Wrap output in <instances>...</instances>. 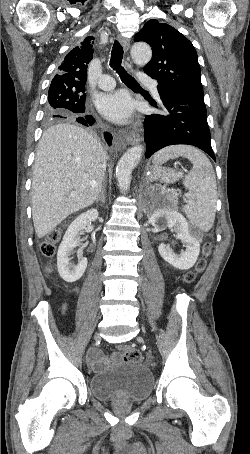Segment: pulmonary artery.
Segmentation results:
<instances>
[{
	"mask_svg": "<svg viewBox=\"0 0 250 454\" xmlns=\"http://www.w3.org/2000/svg\"><path fill=\"white\" fill-rule=\"evenodd\" d=\"M138 79L142 83L148 85L150 87L153 95L156 98H159V93H158V90H157L156 82L154 80L150 79L148 76H146L143 73L138 74ZM115 85H116L115 79L113 77L109 76V75L101 76V78L98 81L99 88L102 89V90H105V91H109V90L114 89Z\"/></svg>",
	"mask_w": 250,
	"mask_h": 454,
	"instance_id": "1",
	"label": "pulmonary artery"
}]
</instances>
